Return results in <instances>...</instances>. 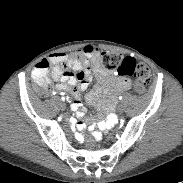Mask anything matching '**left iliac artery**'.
<instances>
[{"label":"left iliac artery","instance_id":"1","mask_svg":"<svg viewBox=\"0 0 183 183\" xmlns=\"http://www.w3.org/2000/svg\"><path fill=\"white\" fill-rule=\"evenodd\" d=\"M122 99H123V97H122V96H120V97H119V100H122Z\"/></svg>","mask_w":183,"mask_h":183}]
</instances>
